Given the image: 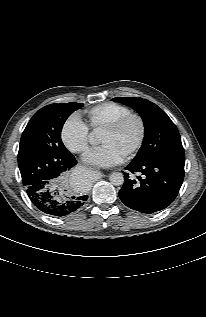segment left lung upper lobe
I'll return each instance as SVG.
<instances>
[{
	"label": "left lung upper lobe",
	"instance_id": "5c2ea615",
	"mask_svg": "<svg viewBox=\"0 0 206 317\" xmlns=\"http://www.w3.org/2000/svg\"><path fill=\"white\" fill-rule=\"evenodd\" d=\"M112 100L136 110L145 125L142 146L131 163L162 161L184 166L185 154L179 131L161 108L142 98L116 97Z\"/></svg>",
	"mask_w": 206,
	"mask_h": 317
}]
</instances>
